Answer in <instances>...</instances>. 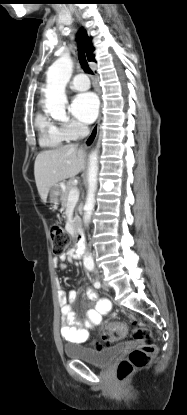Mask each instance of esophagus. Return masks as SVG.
Segmentation results:
<instances>
[{"label":"esophagus","mask_w":187,"mask_h":415,"mask_svg":"<svg viewBox=\"0 0 187 415\" xmlns=\"http://www.w3.org/2000/svg\"><path fill=\"white\" fill-rule=\"evenodd\" d=\"M101 118H102V114L100 112L99 113V116H98V119H97V121L95 123V125L93 126V128L91 129V132H90L89 136L85 140V143H84L85 146L92 145L94 143V141L96 140L97 135H98L99 125H100V122H101Z\"/></svg>","instance_id":"esophagus-1"}]
</instances>
